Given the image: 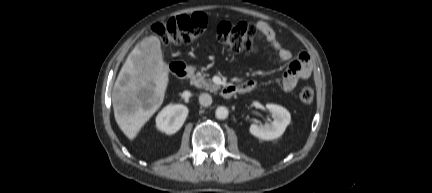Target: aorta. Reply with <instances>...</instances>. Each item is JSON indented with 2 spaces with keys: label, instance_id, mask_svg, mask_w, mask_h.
Segmentation results:
<instances>
[{
  "label": "aorta",
  "instance_id": "obj_1",
  "mask_svg": "<svg viewBox=\"0 0 432 193\" xmlns=\"http://www.w3.org/2000/svg\"><path fill=\"white\" fill-rule=\"evenodd\" d=\"M228 109L224 106H219L217 107L216 111H215V116L218 119L224 120L228 117Z\"/></svg>",
  "mask_w": 432,
  "mask_h": 193
}]
</instances>
